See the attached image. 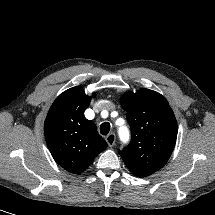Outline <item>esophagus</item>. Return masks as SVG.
I'll return each instance as SVG.
<instances>
[{"instance_id": "34e87169", "label": "esophagus", "mask_w": 215, "mask_h": 215, "mask_svg": "<svg viewBox=\"0 0 215 215\" xmlns=\"http://www.w3.org/2000/svg\"><path fill=\"white\" fill-rule=\"evenodd\" d=\"M116 141V136L114 133H110L107 137H106V142L108 144L109 147H112L115 144Z\"/></svg>"}]
</instances>
